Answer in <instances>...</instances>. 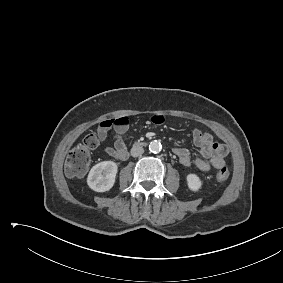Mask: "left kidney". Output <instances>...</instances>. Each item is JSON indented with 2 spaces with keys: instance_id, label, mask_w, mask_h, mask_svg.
<instances>
[{
  "instance_id": "obj_1",
  "label": "left kidney",
  "mask_w": 283,
  "mask_h": 283,
  "mask_svg": "<svg viewBox=\"0 0 283 283\" xmlns=\"http://www.w3.org/2000/svg\"><path fill=\"white\" fill-rule=\"evenodd\" d=\"M187 184L191 191H198L202 187V181L196 174H188L187 177Z\"/></svg>"
}]
</instances>
